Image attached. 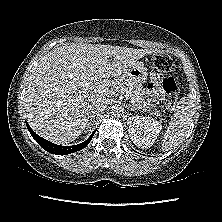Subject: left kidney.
<instances>
[{
    "mask_svg": "<svg viewBox=\"0 0 222 222\" xmlns=\"http://www.w3.org/2000/svg\"><path fill=\"white\" fill-rule=\"evenodd\" d=\"M128 133L140 148H150L162 129L160 121L145 116H131L127 120Z\"/></svg>",
    "mask_w": 222,
    "mask_h": 222,
    "instance_id": "left-kidney-1",
    "label": "left kidney"
}]
</instances>
